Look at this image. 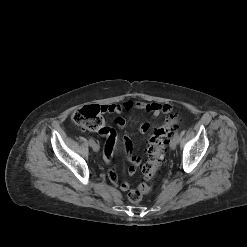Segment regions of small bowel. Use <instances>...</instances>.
I'll use <instances>...</instances> for the list:
<instances>
[{
	"label": "small bowel",
	"mask_w": 247,
	"mask_h": 247,
	"mask_svg": "<svg viewBox=\"0 0 247 247\" xmlns=\"http://www.w3.org/2000/svg\"><path fill=\"white\" fill-rule=\"evenodd\" d=\"M104 108L105 112L116 114H122L129 109L143 110L151 113L153 117H158L161 114H169L172 111V107L169 104H160L156 102L148 103L141 101H129L123 104L105 105ZM115 124L117 127L123 128L125 125V119L123 117H117L115 119ZM150 129L151 124L146 122L140 125L139 132L146 133ZM99 133L107 138L103 150V159L106 163H110L117 143L116 131L113 128L104 126ZM124 145L126 155L129 161L131 162V166L129 167V173L133 175L136 172L138 166L141 164L142 158L139 156H134L132 154V143L129 135L124 136ZM108 177L111 183H113L116 186H119L122 191H127L129 189V182H119V178L115 170H110L108 173Z\"/></svg>",
	"instance_id": "1"
}]
</instances>
